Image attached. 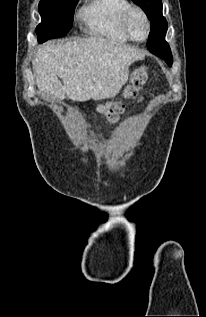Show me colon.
I'll list each match as a JSON object with an SVG mask.
<instances>
[{"instance_id":"obj_1","label":"colon","mask_w":206,"mask_h":317,"mask_svg":"<svg viewBox=\"0 0 206 317\" xmlns=\"http://www.w3.org/2000/svg\"><path fill=\"white\" fill-rule=\"evenodd\" d=\"M147 71L145 66L136 68L129 79V82L123 89V99L135 97L142 86L146 83ZM123 110V102L121 100L108 101L97 109V114L104 118L108 124L115 123Z\"/></svg>"}]
</instances>
